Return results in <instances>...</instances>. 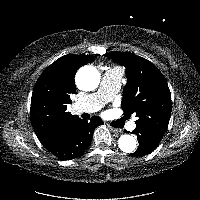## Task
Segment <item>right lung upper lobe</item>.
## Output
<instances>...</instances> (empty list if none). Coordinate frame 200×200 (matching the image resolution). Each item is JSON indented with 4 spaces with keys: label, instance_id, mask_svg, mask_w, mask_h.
I'll list each match as a JSON object with an SVG mask.
<instances>
[{
    "label": "right lung upper lobe",
    "instance_id": "cb5924a9",
    "mask_svg": "<svg viewBox=\"0 0 200 200\" xmlns=\"http://www.w3.org/2000/svg\"><path fill=\"white\" fill-rule=\"evenodd\" d=\"M94 56L69 54L48 66L35 83L30 119L41 143H45L60 128L79 118L67 112L70 96L75 94V73L92 62Z\"/></svg>",
    "mask_w": 200,
    "mask_h": 200
}]
</instances>
